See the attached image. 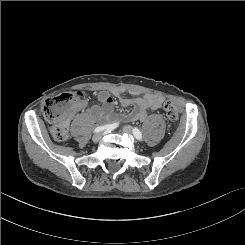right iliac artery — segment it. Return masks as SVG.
<instances>
[{
	"mask_svg": "<svg viewBox=\"0 0 245 245\" xmlns=\"http://www.w3.org/2000/svg\"><path fill=\"white\" fill-rule=\"evenodd\" d=\"M117 126H118V123L108 124V125H104V126H98L94 129V132L98 133V132L103 131V130L111 131V130L115 129Z\"/></svg>",
	"mask_w": 245,
	"mask_h": 245,
	"instance_id": "right-iliac-artery-1",
	"label": "right iliac artery"
}]
</instances>
